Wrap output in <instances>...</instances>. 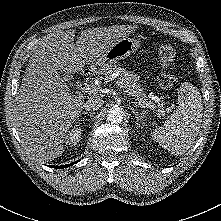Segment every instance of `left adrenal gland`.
Returning a JSON list of instances; mask_svg holds the SVG:
<instances>
[{"label": "left adrenal gland", "mask_w": 221, "mask_h": 221, "mask_svg": "<svg viewBox=\"0 0 221 221\" xmlns=\"http://www.w3.org/2000/svg\"><path fill=\"white\" fill-rule=\"evenodd\" d=\"M132 112H133V114L135 115V118H136V128H138V126H139V120H140V116H139V114H141V115H143V113H139L138 112V110H136V109H134V107H132V106H129L128 107Z\"/></svg>", "instance_id": "a2214340"}]
</instances>
